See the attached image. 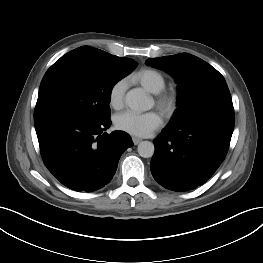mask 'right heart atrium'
Wrapping results in <instances>:
<instances>
[{"label": "right heart atrium", "instance_id": "obj_1", "mask_svg": "<svg viewBox=\"0 0 263 263\" xmlns=\"http://www.w3.org/2000/svg\"><path fill=\"white\" fill-rule=\"evenodd\" d=\"M126 84L123 80L114 82L108 91V102L113 109H120L123 106Z\"/></svg>", "mask_w": 263, "mask_h": 263}]
</instances>
